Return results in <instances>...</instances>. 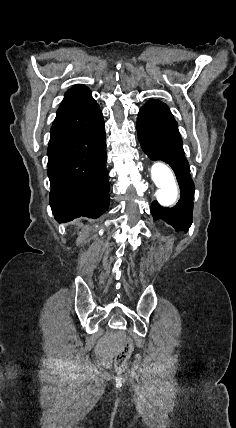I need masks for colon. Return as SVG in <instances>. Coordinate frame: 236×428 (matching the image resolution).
<instances>
[{"label": "colon", "mask_w": 236, "mask_h": 428, "mask_svg": "<svg viewBox=\"0 0 236 428\" xmlns=\"http://www.w3.org/2000/svg\"><path fill=\"white\" fill-rule=\"evenodd\" d=\"M134 351V343L130 338H127L122 343V346L115 355V364L119 371H123L126 366L127 360L130 358Z\"/></svg>", "instance_id": "obj_1"}]
</instances>
